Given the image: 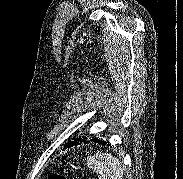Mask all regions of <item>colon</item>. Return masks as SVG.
Segmentation results:
<instances>
[{
	"instance_id": "colon-1",
	"label": "colon",
	"mask_w": 183,
	"mask_h": 179,
	"mask_svg": "<svg viewBox=\"0 0 183 179\" xmlns=\"http://www.w3.org/2000/svg\"><path fill=\"white\" fill-rule=\"evenodd\" d=\"M51 179H70L60 174H54Z\"/></svg>"
}]
</instances>
